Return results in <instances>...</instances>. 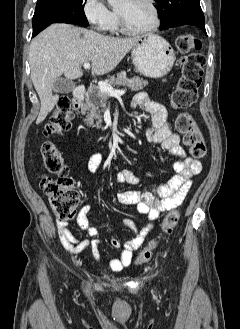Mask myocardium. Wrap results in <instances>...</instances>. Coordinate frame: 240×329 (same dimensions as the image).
Returning a JSON list of instances; mask_svg holds the SVG:
<instances>
[{"instance_id": "obj_1", "label": "myocardium", "mask_w": 240, "mask_h": 329, "mask_svg": "<svg viewBox=\"0 0 240 329\" xmlns=\"http://www.w3.org/2000/svg\"><path fill=\"white\" fill-rule=\"evenodd\" d=\"M146 2L149 4V6L152 9L153 22L150 26L143 28V29L130 28L127 25L123 15L118 10H116L118 27L122 33L127 34V35H133V36L146 35V34L154 32L160 26L161 15H160V10H159L155 0H146Z\"/></svg>"}]
</instances>
